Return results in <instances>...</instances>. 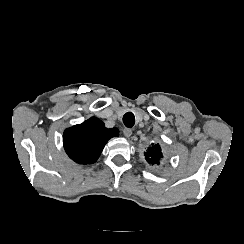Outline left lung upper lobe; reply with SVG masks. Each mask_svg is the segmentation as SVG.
I'll use <instances>...</instances> for the list:
<instances>
[{
  "mask_svg": "<svg viewBox=\"0 0 244 244\" xmlns=\"http://www.w3.org/2000/svg\"><path fill=\"white\" fill-rule=\"evenodd\" d=\"M144 154L147 162L152 165L159 164L163 157L159 144H152Z\"/></svg>",
  "mask_w": 244,
  "mask_h": 244,
  "instance_id": "left-lung-upper-lobe-1",
  "label": "left lung upper lobe"
}]
</instances>
